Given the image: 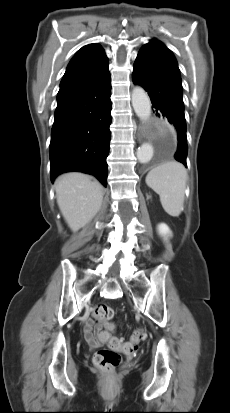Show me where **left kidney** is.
Instances as JSON below:
<instances>
[{"mask_svg":"<svg viewBox=\"0 0 230 413\" xmlns=\"http://www.w3.org/2000/svg\"><path fill=\"white\" fill-rule=\"evenodd\" d=\"M158 231H159V234H161L162 236H166V237H168V236H171L172 235V232H171V230L169 229V227L166 225V224H164V223H161V224H159L158 225Z\"/></svg>","mask_w":230,"mask_h":413,"instance_id":"1","label":"left kidney"}]
</instances>
